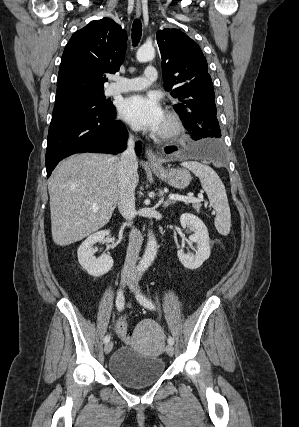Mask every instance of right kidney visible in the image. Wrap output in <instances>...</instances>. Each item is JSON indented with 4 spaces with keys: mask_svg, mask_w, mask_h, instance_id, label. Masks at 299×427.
<instances>
[{
    "mask_svg": "<svg viewBox=\"0 0 299 427\" xmlns=\"http://www.w3.org/2000/svg\"><path fill=\"white\" fill-rule=\"evenodd\" d=\"M109 237V230L96 232L89 236L78 248V261L82 268L91 276H102L110 271L113 266V259L111 256L103 254L100 257H95L94 255V245L99 241L109 240Z\"/></svg>",
    "mask_w": 299,
    "mask_h": 427,
    "instance_id": "ca27d5eb",
    "label": "right kidney"
}]
</instances>
